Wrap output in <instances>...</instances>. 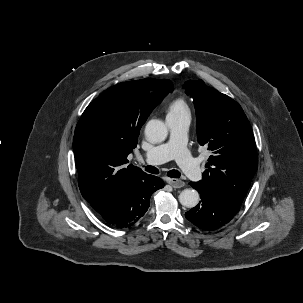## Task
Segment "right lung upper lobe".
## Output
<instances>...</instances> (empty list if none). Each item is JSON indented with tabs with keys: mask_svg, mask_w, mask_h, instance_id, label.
Returning a JSON list of instances; mask_svg holds the SVG:
<instances>
[{
	"mask_svg": "<svg viewBox=\"0 0 303 303\" xmlns=\"http://www.w3.org/2000/svg\"><path fill=\"white\" fill-rule=\"evenodd\" d=\"M174 89L152 78L114 85L94 99L75 129L73 150L84 199L97 209L114 190L146 174L124 164L137 146L141 126Z\"/></svg>",
	"mask_w": 303,
	"mask_h": 303,
	"instance_id": "right-lung-upper-lobe-1",
	"label": "right lung upper lobe"
}]
</instances>
